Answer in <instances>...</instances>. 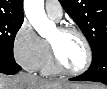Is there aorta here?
Segmentation results:
<instances>
[{"label": "aorta", "mask_w": 107, "mask_h": 89, "mask_svg": "<svg viewBox=\"0 0 107 89\" xmlns=\"http://www.w3.org/2000/svg\"><path fill=\"white\" fill-rule=\"evenodd\" d=\"M24 11L28 21L38 34L47 38L56 30V25L50 21L44 10V0H25Z\"/></svg>", "instance_id": "aorta-1"}]
</instances>
